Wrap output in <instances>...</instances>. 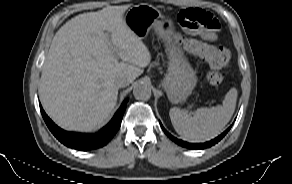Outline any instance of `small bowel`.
<instances>
[{"label": "small bowel", "mask_w": 292, "mask_h": 184, "mask_svg": "<svg viewBox=\"0 0 292 184\" xmlns=\"http://www.w3.org/2000/svg\"><path fill=\"white\" fill-rule=\"evenodd\" d=\"M216 31L217 30H200L199 34H201L205 39H208V40H214L216 38Z\"/></svg>", "instance_id": "obj_1"}]
</instances>
